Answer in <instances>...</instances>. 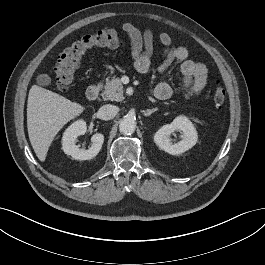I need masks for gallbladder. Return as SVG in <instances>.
<instances>
[{"label":"gallbladder","mask_w":265,"mask_h":265,"mask_svg":"<svg viewBox=\"0 0 265 265\" xmlns=\"http://www.w3.org/2000/svg\"><path fill=\"white\" fill-rule=\"evenodd\" d=\"M37 83L41 86H48L52 83V78L48 74H40L37 76Z\"/></svg>","instance_id":"obj_1"}]
</instances>
